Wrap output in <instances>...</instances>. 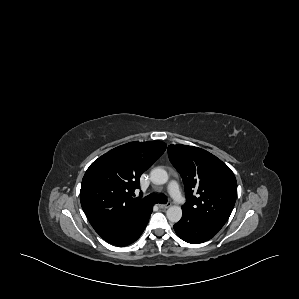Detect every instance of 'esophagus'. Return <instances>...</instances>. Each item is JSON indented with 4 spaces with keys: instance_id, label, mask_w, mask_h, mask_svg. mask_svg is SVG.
I'll use <instances>...</instances> for the list:
<instances>
[{
    "instance_id": "esophagus-1",
    "label": "esophagus",
    "mask_w": 299,
    "mask_h": 299,
    "mask_svg": "<svg viewBox=\"0 0 299 299\" xmlns=\"http://www.w3.org/2000/svg\"><path fill=\"white\" fill-rule=\"evenodd\" d=\"M171 206V203H167V204H159V207L161 208V209H167V208H169Z\"/></svg>"
}]
</instances>
